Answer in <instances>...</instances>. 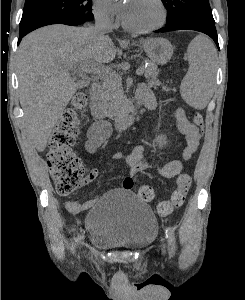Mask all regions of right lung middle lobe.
Here are the masks:
<instances>
[{"mask_svg":"<svg viewBox=\"0 0 245 300\" xmlns=\"http://www.w3.org/2000/svg\"><path fill=\"white\" fill-rule=\"evenodd\" d=\"M93 19L92 0H26L20 34L45 25Z\"/></svg>","mask_w":245,"mask_h":300,"instance_id":"1","label":"right lung middle lobe"}]
</instances>
